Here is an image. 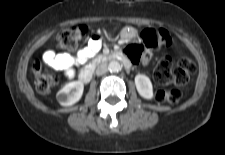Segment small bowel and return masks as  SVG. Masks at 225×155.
I'll return each instance as SVG.
<instances>
[{
    "label": "small bowel",
    "mask_w": 225,
    "mask_h": 155,
    "mask_svg": "<svg viewBox=\"0 0 225 155\" xmlns=\"http://www.w3.org/2000/svg\"><path fill=\"white\" fill-rule=\"evenodd\" d=\"M124 37L127 39H133L136 37V32L134 30H126L124 32ZM102 47V40L100 36H93L86 47L82 48L77 55L74 57L68 53H56L53 50H46L43 53V61L50 67L62 70L68 76H72L74 72V67L85 63L89 58L95 55ZM151 59V52H143V64H147Z\"/></svg>",
    "instance_id": "small-bowel-1"
}]
</instances>
